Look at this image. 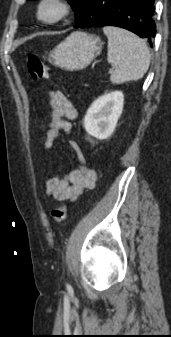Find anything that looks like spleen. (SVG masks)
Here are the masks:
<instances>
[{
    "label": "spleen",
    "mask_w": 171,
    "mask_h": 337,
    "mask_svg": "<svg viewBox=\"0 0 171 337\" xmlns=\"http://www.w3.org/2000/svg\"><path fill=\"white\" fill-rule=\"evenodd\" d=\"M108 38L107 60L114 65L110 76L113 84L141 79L150 65V52L146 42L125 29L106 26L103 28Z\"/></svg>",
    "instance_id": "3e777b00"
}]
</instances>
